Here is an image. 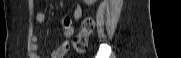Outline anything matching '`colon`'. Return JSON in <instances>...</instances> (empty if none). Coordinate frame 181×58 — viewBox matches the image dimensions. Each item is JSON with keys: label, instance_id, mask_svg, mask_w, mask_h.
Masks as SVG:
<instances>
[{"label": "colon", "instance_id": "obj_1", "mask_svg": "<svg viewBox=\"0 0 181 58\" xmlns=\"http://www.w3.org/2000/svg\"><path fill=\"white\" fill-rule=\"evenodd\" d=\"M94 28L93 20L91 18H86L81 25L80 32L74 37L72 41L73 48L82 53L85 51L88 43V37L92 33Z\"/></svg>", "mask_w": 181, "mask_h": 58}]
</instances>
